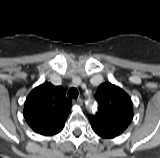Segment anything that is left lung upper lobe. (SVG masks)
Returning a JSON list of instances; mask_svg holds the SVG:
<instances>
[{
    "label": "left lung upper lobe",
    "instance_id": "left-lung-upper-lobe-1",
    "mask_svg": "<svg viewBox=\"0 0 160 158\" xmlns=\"http://www.w3.org/2000/svg\"><path fill=\"white\" fill-rule=\"evenodd\" d=\"M95 97L99 108L97 114L89 116L91 125L119 136L133 119L131 98L110 82L101 84Z\"/></svg>",
    "mask_w": 160,
    "mask_h": 158
}]
</instances>
